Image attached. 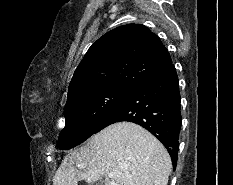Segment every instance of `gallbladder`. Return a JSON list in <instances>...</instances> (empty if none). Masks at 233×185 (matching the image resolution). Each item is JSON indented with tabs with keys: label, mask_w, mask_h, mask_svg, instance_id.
I'll return each mask as SVG.
<instances>
[{
	"label": "gallbladder",
	"mask_w": 233,
	"mask_h": 185,
	"mask_svg": "<svg viewBox=\"0 0 233 185\" xmlns=\"http://www.w3.org/2000/svg\"><path fill=\"white\" fill-rule=\"evenodd\" d=\"M91 185H104L103 181L99 180L95 183H92Z\"/></svg>",
	"instance_id": "gallbladder-1"
}]
</instances>
